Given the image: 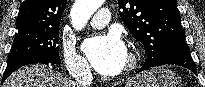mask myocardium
Wrapping results in <instances>:
<instances>
[{
    "label": "myocardium",
    "mask_w": 205,
    "mask_h": 87,
    "mask_svg": "<svg viewBox=\"0 0 205 87\" xmlns=\"http://www.w3.org/2000/svg\"><path fill=\"white\" fill-rule=\"evenodd\" d=\"M139 58L136 52L129 51L127 54V62L124 66L123 72L124 73H130L133 70H135L137 64H138Z\"/></svg>",
    "instance_id": "f54148a6"
}]
</instances>
